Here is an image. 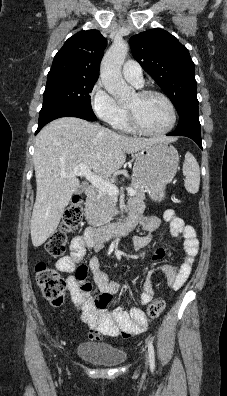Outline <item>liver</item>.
<instances>
[{
	"instance_id": "1",
	"label": "liver",
	"mask_w": 227,
	"mask_h": 396,
	"mask_svg": "<svg viewBox=\"0 0 227 396\" xmlns=\"http://www.w3.org/2000/svg\"><path fill=\"white\" fill-rule=\"evenodd\" d=\"M173 140L122 136L76 117H62L46 125L35 139L37 192L30 224L33 246H41L53 234L80 187L76 176L61 174H71L78 165L85 164L107 179L123 166L126 153L138 152L154 142Z\"/></svg>"
}]
</instances>
